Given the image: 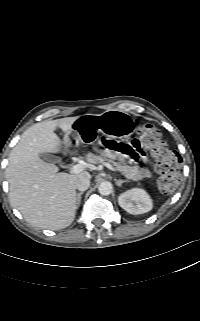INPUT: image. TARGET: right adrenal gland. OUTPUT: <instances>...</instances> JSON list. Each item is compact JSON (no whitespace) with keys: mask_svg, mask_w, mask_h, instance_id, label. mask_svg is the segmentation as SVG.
<instances>
[{"mask_svg":"<svg viewBox=\"0 0 200 321\" xmlns=\"http://www.w3.org/2000/svg\"><path fill=\"white\" fill-rule=\"evenodd\" d=\"M84 192L83 191H81V192H79L78 194H77V207H79L80 206V203H81V196H82V194H83Z\"/></svg>","mask_w":200,"mask_h":321,"instance_id":"right-adrenal-gland-1","label":"right adrenal gland"}]
</instances>
